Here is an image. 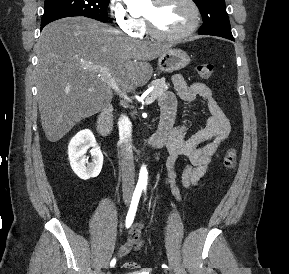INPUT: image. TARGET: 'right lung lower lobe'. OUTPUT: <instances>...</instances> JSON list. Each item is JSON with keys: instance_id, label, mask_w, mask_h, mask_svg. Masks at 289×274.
Returning a JSON list of instances; mask_svg holds the SVG:
<instances>
[{"instance_id": "98d812e1", "label": "right lung lower lobe", "mask_w": 289, "mask_h": 274, "mask_svg": "<svg viewBox=\"0 0 289 274\" xmlns=\"http://www.w3.org/2000/svg\"><path fill=\"white\" fill-rule=\"evenodd\" d=\"M48 23L46 24H41V29H43L44 26H46Z\"/></svg>"}]
</instances>
